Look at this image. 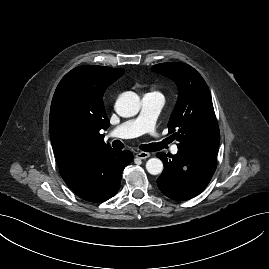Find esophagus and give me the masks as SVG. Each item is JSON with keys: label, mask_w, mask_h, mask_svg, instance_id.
Listing matches in <instances>:
<instances>
[{"label": "esophagus", "mask_w": 269, "mask_h": 269, "mask_svg": "<svg viewBox=\"0 0 269 269\" xmlns=\"http://www.w3.org/2000/svg\"><path fill=\"white\" fill-rule=\"evenodd\" d=\"M135 156L136 158H139V159H146L150 157V154L147 152H137Z\"/></svg>", "instance_id": "obj_1"}]
</instances>
